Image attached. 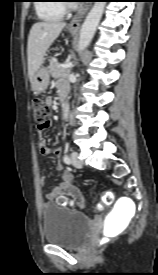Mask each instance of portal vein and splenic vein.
I'll return each instance as SVG.
<instances>
[{
	"instance_id": "18ae733b",
	"label": "portal vein and splenic vein",
	"mask_w": 158,
	"mask_h": 275,
	"mask_svg": "<svg viewBox=\"0 0 158 275\" xmlns=\"http://www.w3.org/2000/svg\"><path fill=\"white\" fill-rule=\"evenodd\" d=\"M59 67L71 68L72 67V63L68 61V62H66L64 64H59Z\"/></svg>"
}]
</instances>
